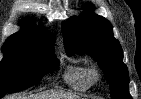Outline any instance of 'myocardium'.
I'll return each instance as SVG.
<instances>
[{
	"label": "myocardium",
	"instance_id": "myocardium-1",
	"mask_svg": "<svg viewBox=\"0 0 141 99\" xmlns=\"http://www.w3.org/2000/svg\"><path fill=\"white\" fill-rule=\"evenodd\" d=\"M88 76L92 83L96 82L100 78V71L96 67L88 68Z\"/></svg>",
	"mask_w": 141,
	"mask_h": 99
}]
</instances>
